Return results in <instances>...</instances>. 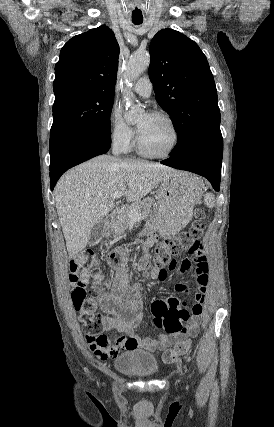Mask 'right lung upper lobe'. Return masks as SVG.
I'll list each match as a JSON object with an SVG mask.
<instances>
[{"label":"right lung upper lobe","instance_id":"right-lung-upper-lobe-1","mask_svg":"<svg viewBox=\"0 0 274 427\" xmlns=\"http://www.w3.org/2000/svg\"><path fill=\"white\" fill-rule=\"evenodd\" d=\"M119 45L106 25L70 39L55 66V102L69 95H114Z\"/></svg>","mask_w":274,"mask_h":427}]
</instances>
